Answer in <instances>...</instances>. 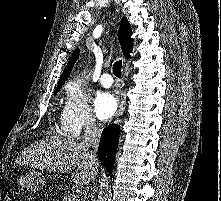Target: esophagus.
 I'll list each match as a JSON object with an SVG mask.
<instances>
[{"label":"esophagus","instance_id":"34e87169","mask_svg":"<svg viewBox=\"0 0 221 201\" xmlns=\"http://www.w3.org/2000/svg\"><path fill=\"white\" fill-rule=\"evenodd\" d=\"M124 109H125V102L122 99L120 101V106H119V109H118V112H117V115H116V117H117L116 121H118L119 117L123 114Z\"/></svg>","mask_w":221,"mask_h":201}]
</instances>
